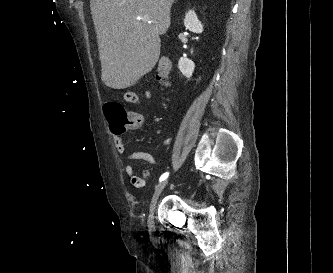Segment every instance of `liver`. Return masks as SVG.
<instances>
[{"mask_svg":"<svg viewBox=\"0 0 333 273\" xmlns=\"http://www.w3.org/2000/svg\"><path fill=\"white\" fill-rule=\"evenodd\" d=\"M174 0H90L101 79L113 89L134 85L160 57ZM148 21H151L149 23Z\"/></svg>","mask_w":333,"mask_h":273,"instance_id":"6515ba94","label":"liver"}]
</instances>
